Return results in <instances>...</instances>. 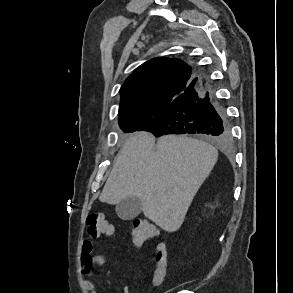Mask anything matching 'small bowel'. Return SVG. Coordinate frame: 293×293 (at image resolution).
Masks as SVG:
<instances>
[{
  "instance_id": "c3829d8e",
  "label": "small bowel",
  "mask_w": 293,
  "mask_h": 293,
  "mask_svg": "<svg viewBox=\"0 0 293 293\" xmlns=\"http://www.w3.org/2000/svg\"><path fill=\"white\" fill-rule=\"evenodd\" d=\"M111 234H106V235L109 236ZM92 251H93L92 242L85 239L81 245L80 266H81L82 273L86 276H89L91 274L93 267H102L105 265V262H106V259L103 255L96 254V253L93 254ZM84 287L88 291V293H97L96 286L89 279L84 280ZM122 293H129L128 287L126 286L123 287Z\"/></svg>"
}]
</instances>
